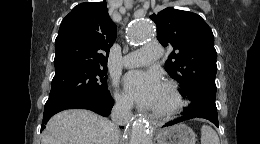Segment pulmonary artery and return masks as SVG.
Segmentation results:
<instances>
[{"instance_id": "obj_1", "label": "pulmonary artery", "mask_w": 260, "mask_h": 144, "mask_svg": "<svg viewBox=\"0 0 260 144\" xmlns=\"http://www.w3.org/2000/svg\"><path fill=\"white\" fill-rule=\"evenodd\" d=\"M163 53V49L158 43H148L142 49L129 53L124 56L123 64L125 67H140L156 61Z\"/></svg>"}]
</instances>
